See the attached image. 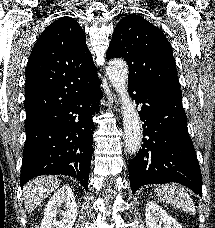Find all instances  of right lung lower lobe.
Wrapping results in <instances>:
<instances>
[{"mask_svg":"<svg viewBox=\"0 0 215 228\" xmlns=\"http://www.w3.org/2000/svg\"><path fill=\"white\" fill-rule=\"evenodd\" d=\"M102 98L97 73L70 90L69 98L38 119L25 123L21 187L34 177L64 174L88 189L94 125Z\"/></svg>","mask_w":215,"mask_h":228,"instance_id":"obj_1","label":"right lung lower lobe"}]
</instances>
